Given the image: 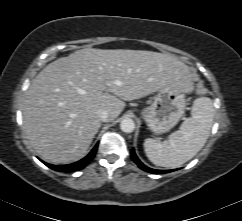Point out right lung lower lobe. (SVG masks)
<instances>
[{"label": "right lung lower lobe", "mask_w": 242, "mask_h": 221, "mask_svg": "<svg viewBox=\"0 0 242 221\" xmlns=\"http://www.w3.org/2000/svg\"><path fill=\"white\" fill-rule=\"evenodd\" d=\"M97 148H98V144L92 149V151L85 158L81 159L78 162L72 163V164L52 165V164H48L45 162H44V164L53 170L61 171V172H73L76 170H80V169H83L93 159Z\"/></svg>", "instance_id": "obj_1"}]
</instances>
